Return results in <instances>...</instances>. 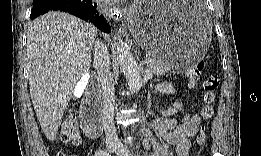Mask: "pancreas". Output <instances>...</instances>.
I'll return each mask as SVG.
<instances>
[{
  "instance_id": "pancreas-1",
  "label": "pancreas",
  "mask_w": 261,
  "mask_h": 156,
  "mask_svg": "<svg viewBox=\"0 0 261 156\" xmlns=\"http://www.w3.org/2000/svg\"><path fill=\"white\" fill-rule=\"evenodd\" d=\"M152 57V56H151ZM153 74L161 75L168 71V67L160 60L152 57V61L147 64Z\"/></svg>"
}]
</instances>
